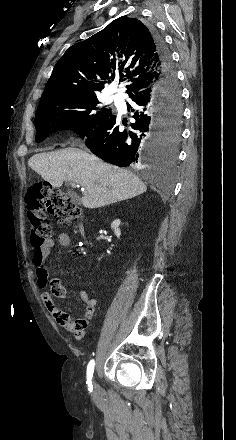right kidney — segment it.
Returning a JSON list of instances; mask_svg holds the SVG:
<instances>
[{
  "label": "right kidney",
  "instance_id": "obj_1",
  "mask_svg": "<svg viewBox=\"0 0 236 440\" xmlns=\"http://www.w3.org/2000/svg\"><path fill=\"white\" fill-rule=\"evenodd\" d=\"M120 220L119 219H116V220H114L113 222H112V224H111V228L114 230V234L119 238L120 237V235H121V231H120V228H119V226H120Z\"/></svg>",
  "mask_w": 236,
  "mask_h": 440
}]
</instances>
